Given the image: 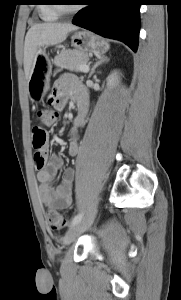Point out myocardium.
Listing matches in <instances>:
<instances>
[{"mask_svg":"<svg viewBox=\"0 0 181 300\" xmlns=\"http://www.w3.org/2000/svg\"><path fill=\"white\" fill-rule=\"evenodd\" d=\"M52 1V5L54 10L59 14V15H67V14H71L74 13L78 10L77 7H67L64 3H60V1L58 0H51Z\"/></svg>","mask_w":181,"mask_h":300,"instance_id":"1","label":"myocardium"}]
</instances>
